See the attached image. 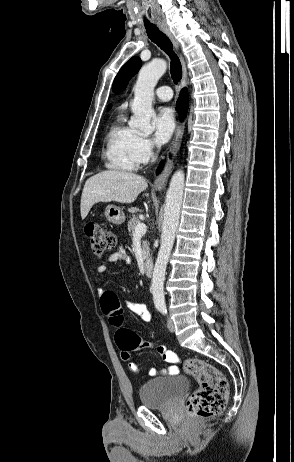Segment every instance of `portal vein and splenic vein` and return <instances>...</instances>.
<instances>
[{"label":"portal vein and splenic vein","mask_w":294,"mask_h":462,"mask_svg":"<svg viewBox=\"0 0 294 462\" xmlns=\"http://www.w3.org/2000/svg\"><path fill=\"white\" fill-rule=\"evenodd\" d=\"M146 225L144 223H139L135 228L134 236H142L146 233Z\"/></svg>","instance_id":"1"}]
</instances>
